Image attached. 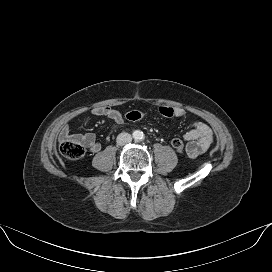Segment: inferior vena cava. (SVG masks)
<instances>
[{"label": "inferior vena cava", "mask_w": 272, "mask_h": 272, "mask_svg": "<svg viewBox=\"0 0 272 272\" xmlns=\"http://www.w3.org/2000/svg\"><path fill=\"white\" fill-rule=\"evenodd\" d=\"M132 141V137L129 133L122 132L117 136L116 142L118 145L123 146Z\"/></svg>", "instance_id": "1"}]
</instances>
